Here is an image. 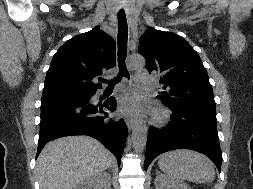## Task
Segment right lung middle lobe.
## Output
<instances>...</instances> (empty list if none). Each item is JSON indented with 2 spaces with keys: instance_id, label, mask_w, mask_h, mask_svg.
<instances>
[{
  "instance_id": "1",
  "label": "right lung middle lobe",
  "mask_w": 253,
  "mask_h": 189,
  "mask_svg": "<svg viewBox=\"0 0 253 189\" xmlns=\"http://www.w3.org/2000/svg\"><path fill=\"white\" fill-rule=\"evenodd\" d=\"M94 92L95 91L71 90V89L43 91L42 99L49 98V97L87 98V97H90Z\"/></svg>"
}]
</instances>
